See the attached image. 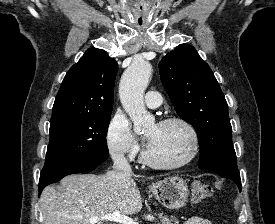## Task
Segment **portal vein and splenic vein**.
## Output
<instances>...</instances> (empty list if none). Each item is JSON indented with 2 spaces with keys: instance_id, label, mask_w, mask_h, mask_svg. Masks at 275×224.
Returning <instances> with one entry per match:
<instances>
[{
  "instance_id": "obj_1",
  "label": "portal vein and splenic vein",
  "mask_w": 275,
  "mask_h": 224,
  "mask_svg": "<svg viewBox=\"0 0 275 224\" xmlns=\"http://www.w3.org/2000/svg\"><path fill=\"white\" fill-rule=\"evenodd\" d=\"M102 221L116 222L119 224H138V222L135 221L134 219L128 216L122 215L118 211H114L111 214L103 215L100 217H92L89 219L90 224H96Z\"/></svg>"
}]
</instances>
